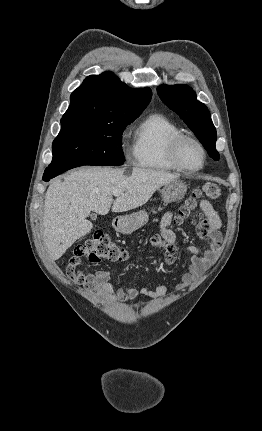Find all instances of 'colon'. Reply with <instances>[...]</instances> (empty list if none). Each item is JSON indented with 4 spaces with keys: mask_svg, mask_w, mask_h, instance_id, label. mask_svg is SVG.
I'll list each match as a JSON object with an SVG mask.
<instances>
[{
    "mask_svg": "<svg viewBox=\"0 0 262 431\" xmlns=\"http://www.w3.org/2000/svg\"><path fill=\"white\" fill-rule=\"evenodd\" d=\"M203 197H207L212 201H218L221 198L220 186L215 183H205L187 199L176 215L174 222L176 224H181L187 219L196 208L198 201ZM150 242L154 248L161 249L167 246L166 241L159 234L153 235ZM76 250L77 251L69 258L66 267V273L69 277H73L74 274L80 275L78 265L84 257L94 262H116L121 261L127 254L124 248L118 246L99 232L94 233L91 238L85 240Z\"/></svg>",
    "mask_w": 262,
    "mask_h": 431,
    "instance_id": "obj_1",
    "label": "colon"
}]
</instances>
